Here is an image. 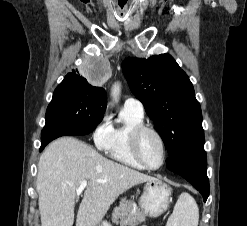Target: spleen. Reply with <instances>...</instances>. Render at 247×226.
Here are the masks:
<instances>
[{"mask_svg":"<svg viewBox=\"0 0 247 226\" xmlns=\"http://www.w3.org/2000/svg\"><path fill=\"white\" fill-rule=\"evenodd\" d=\"M199 209L196 201L188 193H182L167 221V226H198Z\"/></svg>","mask_w":247,"mask_h":226,"instance_id":"obj_1","label":"spleen"}]
</instances>
